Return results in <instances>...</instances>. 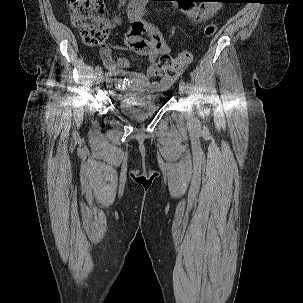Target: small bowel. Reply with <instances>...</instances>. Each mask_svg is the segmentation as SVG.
<instances>
[{
  "mask_svg": "<svg viewBox=\"0 0 303 303\" xmlns=\"http://www.w3.org/2000/svg\"><path fill=\"white\" fill-rule=\"evenodd\" d=\"M146 2L147 0H131L128 4L127 16L131 27L125 36V42L133 51L146 56L150 62H155L161 54L168 52L169 49L158 28L143 19ZM216 2L220 1L185 0V3L179 7L191 20L204 22L211 19L221 9V4ZM120 24L121 19L118 16H115L110 23L112 27ZM100 55L105 67L117 77L116 82L120 88L130 84L140 90L156 92L168 89L174 82V76L169 73L159 79L150 80L156 75L153 68H150L146 74L129 71V60L124 56L114 59L108 44L101 47Z\"/></svg>",
  "mask_w": 303,
  "mask_h": 303,
  "instance_id": "1",
  "label": "small bowel"
}]
</instances>
